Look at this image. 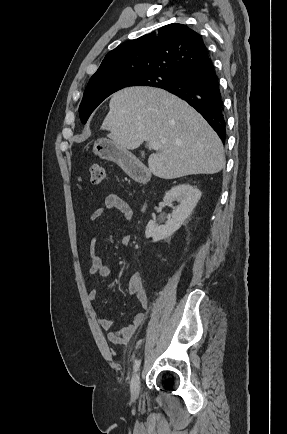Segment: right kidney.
I'll use <instances>...</instances> for the list:
<instances>
[{"mask_svg":"<svg viewBox=\"0 0 287 434\" xmlns=\"http://www.w3.org/2000/svg\"><path fill=\"white\" fill-rule=\"evenodd\" d=\"M200 198V190L189 183L172 187L165 194L163 201L167 205L177 201L179 205L173 210L171 220L165 225L158 226L155 220H150L145 230L146 238H152L153 242H157L170 237L188 218Z\"/></svg>","mask_w":287,"mask_h":434,"instance_id":"1","label":"right kidney"}]
</instances>
